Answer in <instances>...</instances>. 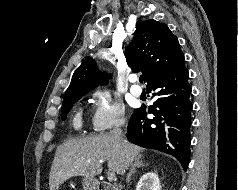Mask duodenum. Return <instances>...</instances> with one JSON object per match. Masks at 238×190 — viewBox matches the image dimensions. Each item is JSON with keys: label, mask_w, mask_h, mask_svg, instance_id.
I'll use <instances>...</instances> for the list:
<instances>
[{"label": "duodenum", "mask_w": 238, "mask_h": 190, "mask_svg": "<svg viewBox=\"0 0 238 190\" xmlns=\"http://www.w3.org/2000/svg\"><path fill=\"white\" fill-rule=\"evenodd\" d=\"M94 190H117L114 186L104 182H97L93 185Z\"/></svg>", "instance_id": "duodenum-1"}]
</instances>
